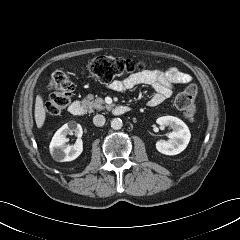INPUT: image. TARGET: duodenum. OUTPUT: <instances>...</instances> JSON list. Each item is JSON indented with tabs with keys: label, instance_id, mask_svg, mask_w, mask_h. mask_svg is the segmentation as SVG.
<instances>
[{
	"label": "duodenum",
	"instance_id": "obj_1",
	"mask_svg": "<svg viewBox=\"0 0 240 240\" xmlns=\"http://www.w3.org/2000/svg\"><path fill=\"white\" fill-rule=\"evenodd\" d=\"M84 111H85V107L83 103L79 100L73 101L69 106V112L75 117L82 116L84 114ZM129 111H130V107L126 105H118L114 107L113 114L123 115L128 113Z\"/></svg>",
	"mask_w": 240,
	"mask_h": 240
}]
</instances>
